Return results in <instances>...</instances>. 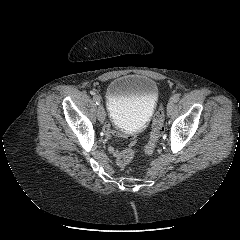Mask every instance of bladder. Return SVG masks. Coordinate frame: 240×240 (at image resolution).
Listing matches in <instances>:
<instances>
[{"instance_id": "1", "label": "bladder", "mask_w": 240, "mask_h": 240, "mask_svg": "<svg viewBox=\"0 0 240 240\" xmlns=\"http://www.w3.org/2000/svg\"><path fill=\"white\" fill-rule=\"evenodd\" d=\"M158 97L159 89L153 79L137 74L120 76L107 89L110 118L120 130L136 133L149 122Z\"/></svg>"}]
</instances>
